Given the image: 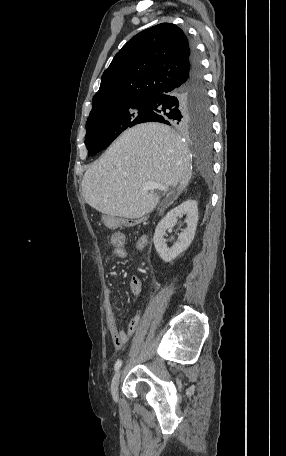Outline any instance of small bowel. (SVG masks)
<instances>
[{"instance_id":"c3829d8e","label":"small bowel","mask_w":286,"mask_h":456,"mask_svg":"<svg viewBox=\"0 0 286 456\" xmlns=\"http://www.w3.org/2000/svg\"><path fill=\"white\" fill-rule=\"evenodd\" d=\"M112 238H116L114 241ZM148 239L145 235H141L135 242V250L142 251L147 246ZM125 237L121 232H115L110 238V246L112 255L118 259H124L127 257V251L125 249ZM130 289L133 295L139 296L142 292L141 280L138 276H133L130 281ZM111 294V291H108ZM144 306L142 305L136 315L130 320L127 331L120 330L116 315L113 311V307L109 301L105 305V316L106 326L111 336L112 342L116 349H122L128 342L130 336L136 331L140 323Z\"/></svg>"}]
</instances>
